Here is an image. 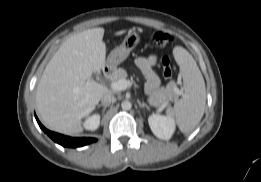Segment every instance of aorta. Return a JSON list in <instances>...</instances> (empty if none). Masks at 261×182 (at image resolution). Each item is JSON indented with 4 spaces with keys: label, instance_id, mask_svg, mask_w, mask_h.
I'll list each match as a JSON object with an SVG mask.
<instances>
[{
    "label": "aorta",
    "instance_id": "aorta-1",
    "mask_svg": "<svg viewBox=\"0 0 261 182\" xmlns=\"http://www.w3.org/2000/svg\"><path fill=\"white\" fill-rule=\"evenodd\" d=\"M121 107L123 110H130L132 107V104L130 101L125 100L121 103Z\"/></svg>",
    "mask_w": 261,
    "mask_h": 182
}]
</instances>
